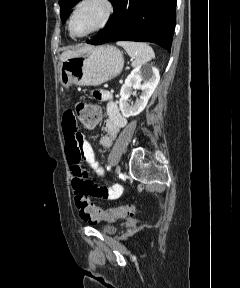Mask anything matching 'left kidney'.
<instances>
[{
	"label": "left kidney",
	"mask_w": 240,
	"mask_h": 288,
	"mask_svg": "<svg viewBox=\"0 0 240 288\" xmlns=\"http://www.w3.org/2000/svg\"><path fill=\"white\" fill-rule=\"evenodd\" d=\"M159 80V70L155 67L138 66L133 69L120 90L119 107L124 117L136 116L144 110ZM137 89L142 91L140 98L134 105H130L128 100L131 95H134L133 90Z\"/></svg>",
	"instance_id": "5707ae66"
}]
</instances>
